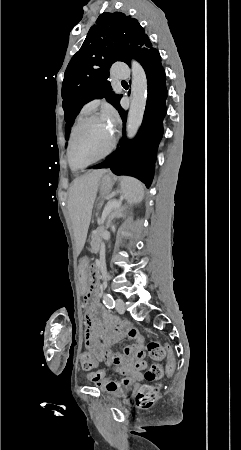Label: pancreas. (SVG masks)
<instances>
[{"label":"pancreas","mask_w":241,"mask_h":450,"mask_svg":"<svg viewBox=\"0 0 241 450\" xmlns=\"http://www.w3.org/2000/svg\"><path fill=\"white\" fill-rule=\"evenodd\" d=\"M112 218H114V214H111V216H108V218H106V228H108L109 224H110V220H112ZM102 227H96L94 232V236H92L91 241H92V245H91V250H97V246H99L100 243L103 242V233H102Z\"/></svg>","instance_id":"cf45deb5"}]
</instances>
